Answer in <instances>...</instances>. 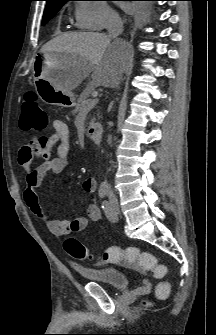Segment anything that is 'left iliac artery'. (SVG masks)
<instances>
[{
	"instance_id": "1",
	"label": "left iliac artery",
	"mask_w": 216,
	"mask_h": 335,
	"mask_svg": "<svg viewBox=\"0 0 216 335\" xmlns=\"http://www.w3.org/2000/svg\"><path fill=\"white\" fill-rule=\"evenodd\" d=\"M102 209H103L106 217L109 220H113V212H112L111 206L109 205L108 201H103L102 202Z\"/></svg>"
}]
</instances>
